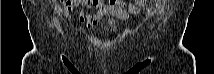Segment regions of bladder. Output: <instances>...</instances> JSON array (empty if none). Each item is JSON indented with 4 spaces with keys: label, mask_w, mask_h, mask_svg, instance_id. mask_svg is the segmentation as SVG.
<instances>
[{
    "label": "bladder",
    "mask_w": 214,
    "mask_h": 74,
    "mask_svg": "<svg viewBox=\"0 0 214 74\" xmlns=\"http://www.w3.org/2000/svg\"><path fill=\"white\" fill-rule=\"evenodd\" d=\"M108 25L111 27L115 26V21H109Z\"/></svg>",
    "instance_id": "bladder-1"
}]
</instances>
